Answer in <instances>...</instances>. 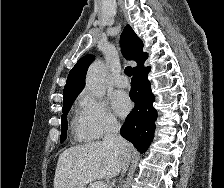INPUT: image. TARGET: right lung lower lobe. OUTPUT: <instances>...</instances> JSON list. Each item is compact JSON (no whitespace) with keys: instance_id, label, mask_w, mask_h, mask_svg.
I'll return each instance as SVG.
<instances>
[{"instance_id":"obj_1","label":"right lung lower lobe","mask_w":224,"mask_h":188,"mask_svg":"<svg viewBox=\"0 0 224 188\" xmlns=\"http://www.w3.org/2000/svg\"><path fill=\"white\" fill-rule=\"evenodd\" d=\"M150 67H141L133 71L130 98L135 103L134 109L127 116L120 133L141 153L145 152L154 137L157 111L153 107L154 95L151 92L147 74Z\"/></svg>"}]
</instances>
